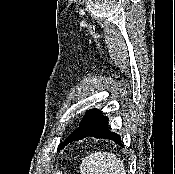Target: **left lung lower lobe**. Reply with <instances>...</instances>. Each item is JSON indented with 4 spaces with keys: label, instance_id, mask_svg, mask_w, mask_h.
<instances>
[{
    "label": "left lung lower lobe",
    "instance_id": "1",
    "mask_svg": "<svg viewBox=\"0 0 175 174\" xmlns=\"http://www.w3.org/2000/svg\"><path fill=\"white\" fill-rule=\"evenodd\" d=\"M88 136L110 139L117 144H121L120 136L108 129V118L101 115L97 109H92L86 111L79 128L62 143V148L72 141L80 140Z\"/></svg>",
    "mask_w": 175,
    "mask_h": 174
}]
</instances>
